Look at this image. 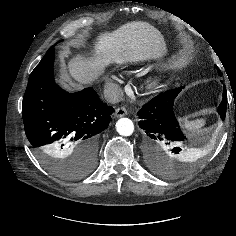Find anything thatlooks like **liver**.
I'll list each match as a JSON object with an SVG mask.
<instances>
[{"label": "liver", "mask_w": 236, "mask_h": 236, "mask_svg": "<svg viewBox=\"0 0 236 236\" xmlns=\"http://www.w3.org/2000/svg\"><path fill=\"white\" fill-rule=\"evenodd\" d=\"M96 59L72 58L68 62L69 75L79 84L89 83L104 65L115 62H138L162 55L164 38L145 22H130L117 30L103 33L96 39Z\"/></svg>", "instance_id": "6515ba94"}]
</instances>
